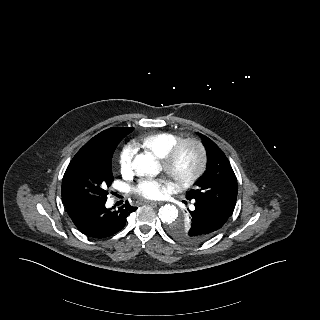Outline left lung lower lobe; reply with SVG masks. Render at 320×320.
Listing matches in <instances>:
<instances>
[{
	"instance_id": "0a47b994",
	"label": "left lung lower lobe",
	"mask_w": 320,
	"mask_h": 320,
	"mask_svg": "<svg viewBox=\"0 0 320 320\" xmlns=\"http://www.w3.org/2000/svg\"><path fill=\"white\" fill-rule=\"evenodd\" d=\"M194 210L190 211L192 235L200 241L214 236L228 220V216L200 201H193Z\"/></svg>"
}]
</instances>
